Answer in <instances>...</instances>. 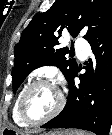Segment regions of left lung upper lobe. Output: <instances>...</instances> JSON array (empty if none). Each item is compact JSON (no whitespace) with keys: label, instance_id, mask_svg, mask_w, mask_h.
<instances>
[{"label":"left lung upper lobe","instance_id":"left-lung-upper-lobe-1","mask_svg":"<svg viewBox=\"0 0 112 135\" xmlns=\"http://www.w3.org/2000/svg\"><path fill=\"white\" fill-rule=\"evenodd\" d=\"M111 21L112 0H56L48 11L35 15L14 48L13 92L41 66H57L68 81L78 67L73 59L65 57L70 53L68 47H57L62 32L68 31L76 38L84 30V38L91 43Z\"/></svg>","mask_w":112,"mask_h":135}]
</instances>
